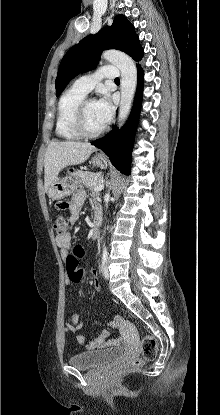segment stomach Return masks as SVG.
<instances>
[{
	"label": "stomach",
	"instance_id": "stomach-1",
	"mask_svg": "<svg viewBox=\"0 0 220 415\" xmlns=\"http://www.w3.org/2000/svg\"><path fill=\"white\" fill-rule=\"evenodd\" d=\"M91 162L102 169L107 167V160L101 154H96L92 157ZM77 187V176L68 175L64 178H56L49 186L47 193L51 199L60 200L74 193Z\"/></svg>",
	"mask_w": 220,
	"mask_h": 415
}]
</instances>
